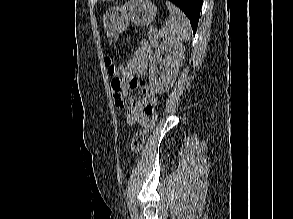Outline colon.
I'll return each instance as SVG.
<instances>
[{"mask_svg":"<svg viewBox=\"0 0 293 219\" xmlns=\"http://www.w3.org/2000/svg\"><path fill=\"white\" fill-rule=\"evenodd\" d=\"M106 66L108 68L109 74L113 77L112 84L113 87L116 90L120 89V82H119V76L121 74V66L120 64L112 57L106 58ZM147 111L152 115L154 114V108L149 107ZM155 121V118L152 119V121L141 131H138L133 136L132 142H131V148L134 153H138L141 151V149L144 146L147 133L151 129L153 123Z\"/></svg>","mask_w":293,"mask_h":219,"instance_id":"5ec220e1","label":"colon"}]
</instances>
